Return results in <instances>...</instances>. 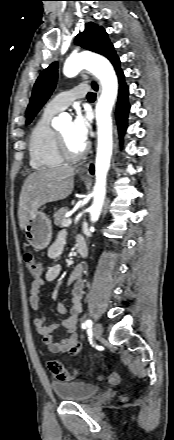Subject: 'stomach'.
I'll return each instance as SVG.
<instances>
[{"instance_id":"0dacf381","label":"stomach","mask_w":174,"mask_h":440,"mask_svg":"<svg viewBox=\"0 0 174 440\" xmlns=\"http://www.w3.org/2000/svg\"><path fill=\"white\" fill-rule=\"evenodd\" d=\"M81 179H84L81 177ZM25 236L28 243L35 250L45 249L52 237L50 219L42 211H37L33 219L25 227Z\"/></svg>"}]
</instances>
